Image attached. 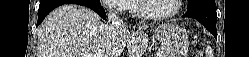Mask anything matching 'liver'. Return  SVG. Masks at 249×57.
<instances>
[{
	"mask_svg": "<svg viewBox=\"0 0 249 57\" xmlns=\"http://www.w3.org/2000/svg\"><path fill=\"white\" fill-rule=\"evenodd\" d=\"M139 26L130 32L124 25L111 28L86 7L65 4L54 9L38 29L37 57H142L149 39Z\"/></svg>",
	"mask_w": 249,
	"mask_h": 57,
	"instance_id": "6515ba94",
	"label": "liver"
}]
</instances>
